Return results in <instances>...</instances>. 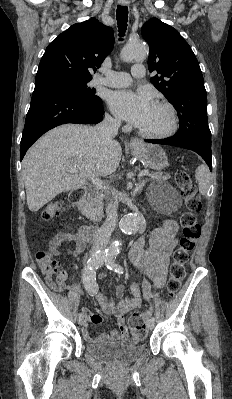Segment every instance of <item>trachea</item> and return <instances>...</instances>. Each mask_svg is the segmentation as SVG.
Segmentation results:
<instances>
[{
  "label": "trachea",
  "mask_w": 232,
  "mask_h": 399,
  "mask_svg": "<svg viewBox=\"0 0 232 399\" xmlns=\"http://www.w3.org/2000/svg\"><path fill=\"white\" fill-rule=\"evenodd\" d=\"M117 24L119 28L120 40H122L125 35L128 21V8L126 6L118 5L116 11Z\"/></svg>",
  "instance_id": "obj_1"
}]
</instances>
